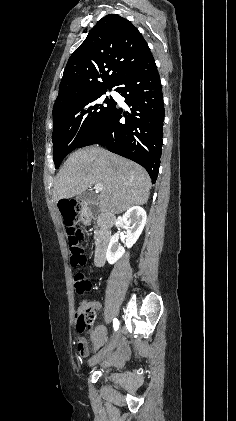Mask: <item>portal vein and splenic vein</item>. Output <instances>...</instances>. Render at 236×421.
Instances as JSON below:
<instances>
[{
	"label": "portal vein and splenic vein",
	"instance_id": "portal-vein-and-splenic-vein-1",
	"mask_svg": "<svg viewBox=\"0 0 236 421\" xmlns=\"http://www.w3.org/2000/svg\"><path fill=\"white\" fill-rule=\"evenodd\" d=\"M95 190H103L102 184H94Z\"/></svg>",
	"mask_w": 236,
	"mask_h": 421
}]
</instances>
